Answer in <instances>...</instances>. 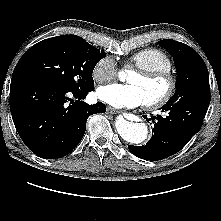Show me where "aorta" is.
I'll return each instance as SVG.
<instances>
[{
	"label": "aorta",
	"mask_w": 221,
	"mask_h": 221,
	"mask_svg": "<svg viewBox=\"0 0 221 221\" xmlns=\"http://www.w3.org/2000/svg\"><path fill=\"white\" fill-rule=\"evenodd\" d=\"M125 72H119V78L123 80ZM118 134L125 141L132 144H140L148 137V127L145 123H137L126 120L123 116H118L115 122Z\"/></svg>",
	"instance_id": "762f6f07"
}]
</instances>
